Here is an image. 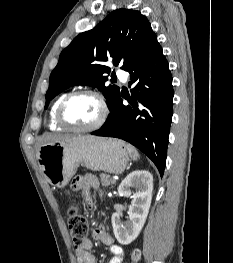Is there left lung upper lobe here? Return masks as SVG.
<instances>
[{
    "mask_svg": "<svg viewBox=\"0 0 233 263\" xmlns=\"http://www.w3.org/2000/svg\"><path fill=\"white\" fill-rule=\"evenodd\" d=\"M155 38L149 21L139 11H113L92 30L75 37L61 52L50 75L45 108L66 88L85 84L103 92L111 111L120 89L115 85L105 86L106 74L110 73L105 62L111 60L115 66L122 64L121 69L126 70Z\"/></svg>",
    "mask_w": 233,
    "mask_h": 263,
    "instance_id": "left-lung-upper-lobe-1",
    "label": "left lung upper lobe"
}]
</instances>
